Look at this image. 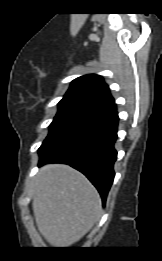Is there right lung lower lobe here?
I'll list each match as a JSON object with an SVG mask.
<instances>
[{"mask_svg": "<svg viewBox=\"0 0 162 261\" xmlns=\"http://www.w3.org/2000/svg\"><path fill=\"white\" fill-rule=\"evenodd\" d=\"M118 120L116 105L112 103L70 123L43 142L39 164L64 163L79 170L105 203L115 175Z\"/></svg>", "mask_w": 162, "mask_h": 261, "instance_id": "obj_1", "label": "right lung lower lobe"}]
</instances>
